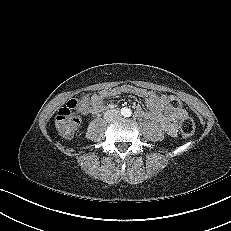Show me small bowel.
I'll use <instances>...</instances> for the list:
<instances>
[{
    "label": "small bowel",
    "instance_id": "c3829d8e",
    "mask_svg": "<svg viewBox=\"0 0 231 231\" xmlns=\"http://www.w3.org/2000/svg\"><path fill=\"white\" fill-rule=\"evenodd\" d=\"M132 93L144 98L147 109L141 106L136 108V115L140 118H147L158 122L162 129L170 136L177 134V121L182 116L187 115L183 109L174 110L168 106V97L165 94L135 87L132 85H122L112 89L101 90L92 96L85 95L79 99V103L84 114H98L106 109L105 101L111 97L121 94Z\"/></svg>",
    "mask_w": 231,
    "mask_h": 231
}]
</instances>
